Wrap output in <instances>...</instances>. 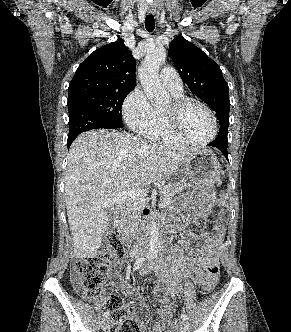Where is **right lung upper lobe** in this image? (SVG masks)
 Segmentation results:
<instances>
[{
  "instance_id": "1",
  "label": "right lung upper lobe",
  "mask_w": 291,
  "mask_h": 332,
  "mask_svg": "<svg viewBox=\"0 0 291 332\" xmlns=\"http://www.w3.org/2000/svg\"><path fill=\"white\" fill-rule=\"evenodd\" d=\"M135 60L123 40L95 50L83 61L69 84L68 98L86 93L132 90L136 85Z\"/></svg>"
}]
</instances>
